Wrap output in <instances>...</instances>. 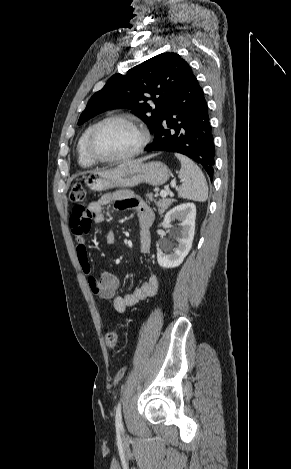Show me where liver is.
Listing matches in <instances>:
<instances>
[{"label": "liver", "instance_id": "6515ba94", "mask_svg": "<svg viewBox=\"0 0 291 469\" xmlns=\"http://www.w3.org/2000/svg\"><path fill=\"white\" fill-rule=\"evenodd\" d=\"M146 159H147V157H145V158H142V159H138V160H132V161H128V162H125V163L121 164L120 166H122V165H126V164H131V163L142 162V161H144V160H146Z\"/></svg>", "mask_w": 291, "mask_h": 469}]
</instances>
